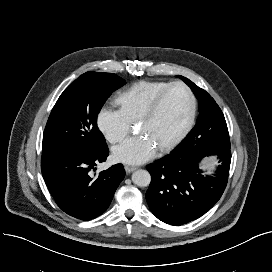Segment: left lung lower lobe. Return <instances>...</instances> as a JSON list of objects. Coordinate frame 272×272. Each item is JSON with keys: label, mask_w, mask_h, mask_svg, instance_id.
<instances>
[{"label": "left lung lower lobe", "mask_w": 272, "mask_h": 272, "mask_svg": "<svg viewBox=\"0 0 272 272\" xmlns=\"http://www.w3.org/2000/svg\"><path fill=\"white\" fill-rule=\"evenodd\" d=\"M216 155L221 165L214 176H205L199 162ZM231 151L182 150L176 147L169 155L147 166L151 183L146 200L152 213L170 225H182L199 218L220 199L227 184Z\"/></svg>", "instance_id": "left-lung-lower-lobe-1"}]
</instances>
